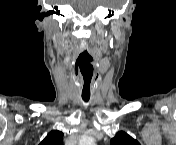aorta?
<instances>
[{"label":"aorta","instance_id":"aorta-1","mask_svg":"<svg viewBox=\"0 0 176 145\" xmlns=\"http://www.w3.org/2000/svg\"><path fill=\"white\" fill-rule=\"evenodd\" d=\"M83 143L86 144V145H93L94 144V139L91 138V137H87V138L84 139Z\"/></svg>","mask_w":176,"mask_h":145}]
</instances>
